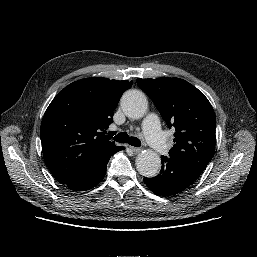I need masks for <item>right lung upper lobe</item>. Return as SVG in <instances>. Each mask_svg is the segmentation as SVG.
Returning <instances> with one entry per match:
<instances>
[{
	"mask_svg": "<svg viewBox=\"0 0 257 257\" xmlns=\"http://www.w3.org/2000/svg\"><path fill=\"white\" fill-rule=\"evenodd\" d=\"M132 82L102 77L66 86L50 103L40 136L45 163L65 184L118 148L107 136L113 111Z\"/></svg>",
	"mask_w": 257,
	"mask_h": 257,
	"instance_id": "right-lung-upper-lobe-1",
	"label": "right lung upper lobe"
}]
</instances>
